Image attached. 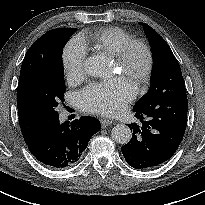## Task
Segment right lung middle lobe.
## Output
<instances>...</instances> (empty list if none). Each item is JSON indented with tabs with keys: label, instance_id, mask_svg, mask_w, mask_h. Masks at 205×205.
<instances>
[{
	"label": "right lung middle lobe",
	"instance_id": "right-lung-middle-lobe-1",
	"mask_svg": "<svg viewBox=\"0 0 205 205\" xmlns=\"http://www.w3.org/2000/svg\"><path fill=\"white\" fill-rule=\"evenodd\" d=\"M75 30L61 29L56 33L24 85L27 105L44 122L58 115L56 108L66 90L62 51Z\"/></svg>",
	"mask_w": 205,
	"mask_h": 205
}]
</instances>
